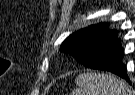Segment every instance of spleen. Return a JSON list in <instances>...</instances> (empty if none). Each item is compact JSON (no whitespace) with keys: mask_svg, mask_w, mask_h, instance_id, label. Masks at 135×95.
<instances>
[{"mask_svg":"<svg viewBox=\"0 0 135 95\" xmlns=\"http://www.w3.org/2000/svg\"><path fill=\"white\" fill-rule=\"evenodd\" d=\"M72 95H132L125 82L104 73H82L76 78Z\"/></svg>","mask_w":135,"mask_h":95,"instance_id":"3e777b00","label":"spleen"}]
</instances>
